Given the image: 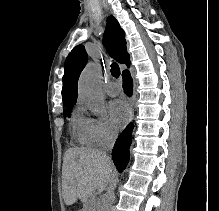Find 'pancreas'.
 Segmentation results:
<instances>
[{"instance_id": "pancreas-1", "label": "pancreas", "mask_w": 219, "mask_h": 211, "mask_svg": "<svg viewBox=\"0 0 219 211\" xmlns=\"http://www.w3.org/2000/svg\"><path fill=\"white\" fill-rule=\"evenodd\" d=\"M86 211H98L99 205H96V200H85Z\"/></svg>"}]
</instances>
